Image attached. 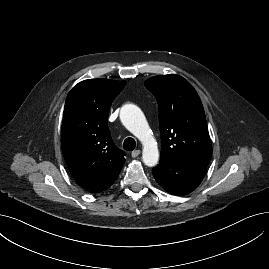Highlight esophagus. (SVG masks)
Here are the masks:
<instances>
[{"label":"esophagus","mask_w":269,"mask_h":269,"mask_svg":"<svg viewBox=\"0 0 269 269\" xmlns=\"http://www.w3.org/2000/svg\"><path fill=\"white\" fill-rule=\"evenodd\" d=\"M140 153H141L140 150H134V151L131 152V156H132L133 158H136L137 156L140 155Z\"/></svg>","instance_id":"esophagus-1"}]
</instances>
